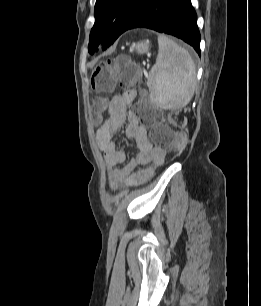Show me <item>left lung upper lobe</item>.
<instances>
[{
	"label": "left lung upper lobe",
	"instance_id": "5c2ea615",
	"mask_svg": "<svg viewBox=\"0 0 261 306\" xmlns=\"http://www.w3.org/2000/svg\"><path fill=\"white\" fill-rule=\"evenodd\" d=\"M145 0H97L94 9L95 23L90 33L88 50L97 51L102 44L105 50L124 32L126 26ZM115 22L111 24L112 20Z\"/></svg>",
	"mask_w": 261,
	"mask_h": 306
}]
</instances>
